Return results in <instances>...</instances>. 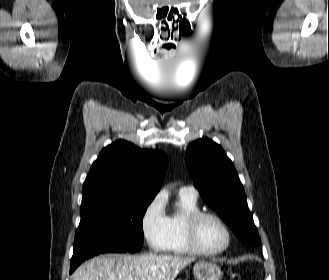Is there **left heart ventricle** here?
Here are the masks:
<instances>
[{"label": "left heart ventricle", "mask_w": 329, "mask_h": 280, "mask_svg": "<svg viewBox=\"0 0 329 280\" xmlns=\"http://www.w3.org/2000/svg\"><path fill=\"white\" fill-rule=\"evenodd\" d=\"M198 239L207 250H216L226 242V233L222 225L212 218H205L198 228Z\"/></svg>", "instance_id": "1"}]
</instances>
